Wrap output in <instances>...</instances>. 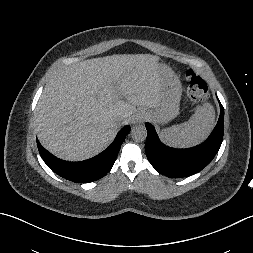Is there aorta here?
<instances>
[{
	"label": "aorta",
	"mask_w": 253,
	"mask_h": 253,
	"mask_svg": "<svg viewBox=\"0 0 253 253\" xmlns=\"http://www.w3.org/2000/svg\"><path fill=\"white\" fill-rule=\"evenodd\" d=\"M132 139L136 142H143L147 137V129L144 125H136L131 131Z\"/></svg>",
	"instance_id": "1"
}]
</instances>
